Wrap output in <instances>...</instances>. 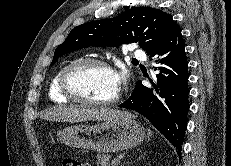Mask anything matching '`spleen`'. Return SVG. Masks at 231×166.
<instances>
[{
  "label": "spleen",
  "instance_id": "3e777b00",
  "mask_svg": "<svg viewBox=\"0 0 231 166\" xmlns=\"http://www.w3.org/2000/svg\"><path fill=\"white\" fill-rule=\"evenodd\" d=\"M152 135V132L150 129H148V137H150Z\"/></svg>",
  "mask_w": 231,
  "mask_h": 166
}]
</instances>
